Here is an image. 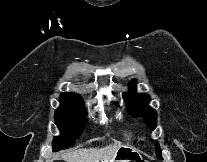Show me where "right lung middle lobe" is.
Masks as SVG:
<instances>
[{
    "instance_id": "1",
    "label": "right lung middle lobe",
    "mask_w": 207,
    "mask_h": 162,
    "mask_svg": "<svg viewBox=\"0 0 207 162\" xmlns=\"http://www.w3.org/2000/svg\"><path fill=\"white\" fill-rule=\"evenodd\" d=\"M61 105L55 111V122L60 136L53 140V151L65 149L75 143L85 126V107L81 99L60 98Z\"/></svg>"
}]
</instances>
